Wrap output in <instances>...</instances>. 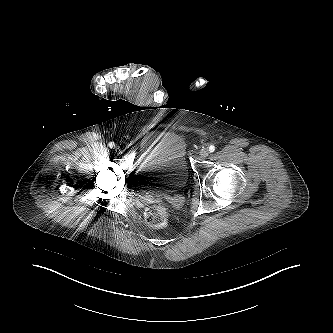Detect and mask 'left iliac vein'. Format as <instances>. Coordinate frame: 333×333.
<instances>
[{
    "label": "left iliac vein",
    "mask_w": 333,
    "mask_h": 333,
    "mask_svg": "<svg viewBox=\"0 0 333 333\" xmlns=\"http://www.w3.org/2000/svg\"><path fill=\"white\" fill-rule=\"evenodd\" d=\"M199 154H200V156H201L202 158H205V157L208 156L209 151H208V149L203 148V149L200 150Z\"/></svg>",
    "instance_id": "4c4485c4"
}]
</instances>
